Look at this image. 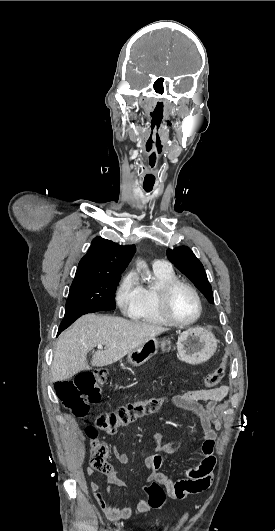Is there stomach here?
Masks as SVG:
<instances>
[{
  "label": "stomach",
  "mask_w": 275,
  "mask_h": 531,
  "mask_svg": "<svg viewBox=\"0 0 275 531\" xmlns=\"http://www.w3.org/2000/svg\"><path fill=\"white\" fill-rule=\"evenodd\" d=\"M177 351L180 361L188 363V365H201L206 363L214 353L217 351L218 341L213 335L206 329L196 327V329H188L180 335L177 343ZM172 347L171 339L164 337V339H148L136 349H132L127 355V363H130L132 367H140L144 365L146 361H149L151 357H154L158 353V349H161L163 353H168Z\"/></svg>",
  "instance_id": "1"
}]
</instances>
